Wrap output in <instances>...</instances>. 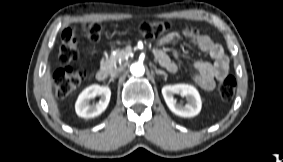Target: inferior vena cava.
Wrapping results in <instances>:
<instances>
[{"instance_id":"inferior-vena-cava-1","label":"inferior vena cava","mask_w":283,"mask_h":162,"mask_svg":"<svg viewBox=\"0 0 283 162\" xmlns=\"http://www.w3.org/2000/svg\"><path fill=\"white\" fill-rule=\"evenodd\" d=\"M118 74H119V70H113L110 75L111 77H116Z\"/></svg>"}]
</instances>
